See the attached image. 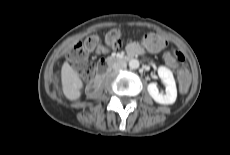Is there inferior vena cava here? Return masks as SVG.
<instances>
[{
	"label": "inferior vena cava",
	"instance_id": "1",
	"mask_svg": "<svg viewBox=\"0 0 230 155\" xmlns=\"http://www.w3.org/2000/svg\"><path fill=\"white\" fill-rule=\"evenodd\" d=\"M127 64L123 60H119L116 63L113 64V69L118 70V69H123L126 68Z\"/></svg>",
	"mask_w": 230,
	"mask_h": 155
}]
</instances>
